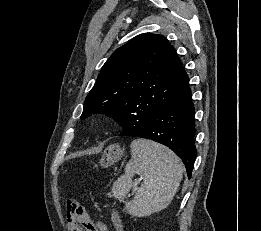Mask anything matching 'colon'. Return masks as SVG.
Wrapping results in <instances>:
<instances>
[{
  "label": "colon",
  "mask_w": 261,
  "mask_h": 231,
  "mask_svg": "<svg viewBox=\"0 0 261 231\" xmlns=\"http://www.w3.org/2000/svg\"><path fill=\"white\" fill-rule=\"evenodd\" d=\"M66 219L68 222L80 225L83 231L95 230L94 224L88 216L85 208L74 199H70L67 202ZM112 223L115 231H123L119 216L116 212L112 215Z\"/></svg>",
  "instance_id": "5ec220e1"
}]
</instances>
